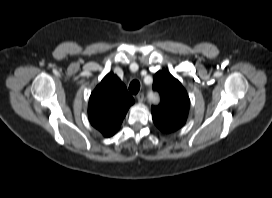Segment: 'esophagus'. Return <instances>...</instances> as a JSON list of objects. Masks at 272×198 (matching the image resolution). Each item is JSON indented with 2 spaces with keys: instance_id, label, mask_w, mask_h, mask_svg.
I'll return each mask as SVG.
<instances>
[{
  "instance_id": "obj_1",
  "label": "esophagus",
  "mask_w": 272,
  "mask_h": 198,
  "mask_svg": "<svg viewBox=\"0 0 272 198\" xmlns=\"http://www.w3.org/2000/svg\"><path fill=\"white\" fill-rule=\"evenodd\" d=\"M137 100L139 103L143 102L144 101V94L143 93H139L137 95Z\"/></svg>"
}]
</instances>
